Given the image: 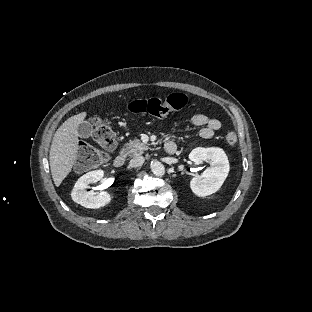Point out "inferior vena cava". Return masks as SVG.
<instances>
[{"label":"inferior vena cava","mask_w":312,"mask_h":312,"mask_svg":"<svg viewBox=\"0 0 312 312\" xmlns=\"http://www.w3.org/2000/svg\"><path fill=\"white\" fill-rule=\"evenodd\" d=\"M144 161H145L144 157L138 155V156H135L133 159L130 160L129 165L131 167H139V166L143 165Z\"/></svg>","instance_id":"1"}]
</instances>
